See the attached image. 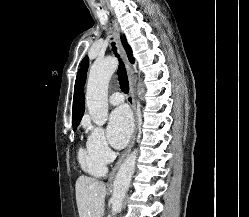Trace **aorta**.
<instances>
[{"mask_svg":"<svg viewBox=\"0 0 249 217\" xmlns=\"http://www.w3.org/2000/svg\"><path fill=\"white\" fill-rule=\"evenodd\" d=\"M116 68L117 60L113 57H108L95 62L90 69L87 82L86 105L92 121L99 126L105 124L107 120L108 85ZM143 92L144 90L141 89L140 94ZM137 155V151H133L127 156L114 180L113 195L111 198V214L113 217L122 208L123 199L135 171Z\"/></svg>","mask_w":249,"mask_h":217,"instance_id":"762f6f07","label":"aorta"}]
</instances>
